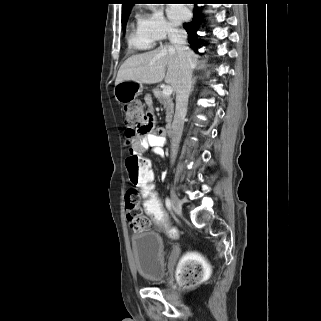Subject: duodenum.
I'll use <instances>...</instances> for the list:
<instances>
[{
    "label": "duodenum",
    "mask_w": 321,
    "mask_h": 321,
    "mask_svg": "<svg viewBox=\"0 0 321 321\" xmlns=\"http://www.w3.org/2000/svg\"><path fill=\"white\" fill-rule=\"evenodd\" d=\"M164 131H165L166 135L171 136L172 133H173V125L171 123H168L165 126V130Z\"/></svg>",
    "instance_id": "obj_1"
}]
</instances>
